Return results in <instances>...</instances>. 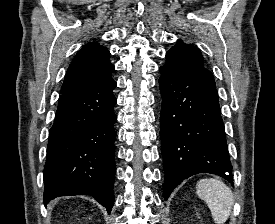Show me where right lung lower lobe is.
Wrapping results in <instances>:
<instances>
[{
  "mask_svg": "<svg viewBox=\"0 0 275 224\" xmlns=\"http://www.w3.org/2000/svg\"><path fill=\"white\" fill-rule=\"evenodd\" d=\"M107 82L61 94L49 131L44 204L59 196L88 194L111 212L114 204L116 104Z\"/></svg>",
  "mask_w": 275,
  "mask_h": 224,
  "instance_id": "98d812e1",
  "label": "right lung lower lobe"
}]
</instances>
